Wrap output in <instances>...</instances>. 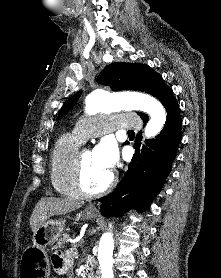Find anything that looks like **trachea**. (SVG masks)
<instances>
[{
	"label": "trachea",
	"instance_id": "3493384b",
	"mask_svg": "<svg viewBox=\"0 0 221 278\" xmlns=\"http://www.w3.org/2000/svg\"><path fill=\"white\" fill-rule=\"evenodd\" d=\"M128 133L129 134H134V131L133 130H129Z\"/></svg>",
	"mask_w": 221,
	"mask_h": 278
}]
</instances>
